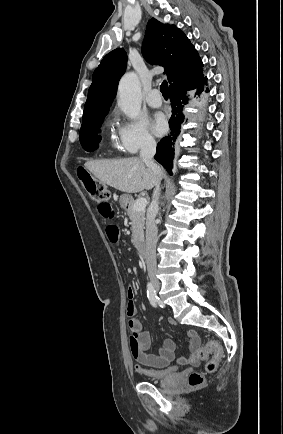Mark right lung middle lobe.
Instances as JSON below:
<instances>
[{
	"label": "right lung middle lobe",
	"mask_w": 283,
	"mask_h": 434,
	"mask_svg": "<svg viewBox=\"0 0 283 434\" xmlns=\"http://www.w3.org/2000/svg\"><path fill=\"white\" fill-rule=\"evenodd\" d=\"M104 117L94 123L83 125L80 129V143L86 151H94L101 141V136L98 135Z\"/></svg>",
	"instance_id": "obj_1"
}]
</instances>
